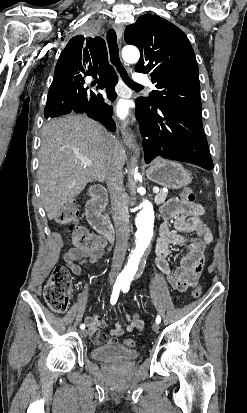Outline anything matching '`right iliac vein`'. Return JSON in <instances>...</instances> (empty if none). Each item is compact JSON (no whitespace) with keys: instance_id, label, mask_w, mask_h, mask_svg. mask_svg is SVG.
Here are the masks:
<instances>
[{"instance_id":"63e3f726","label":"right iliac vein","mask_w":247,"mask_h":413,"mask_svg":"<svg viewBox=\"0 0 247 413\" xmlns=\"http://www.w3.org/2000/svg\"><path fill=\"white\" fill-rule=\"evenodd\" d=\"M80 335H81L82 338H86L87 335H88V330H83V331H81V332H80Z\"/></svg>"}]
</instances>
